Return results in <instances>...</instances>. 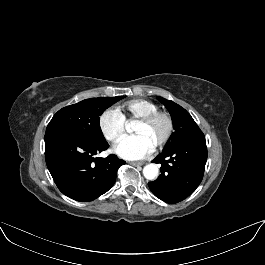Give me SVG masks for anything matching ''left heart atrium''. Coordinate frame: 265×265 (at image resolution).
Here are the masks:
<instances>
[{"mask_svg":"<svg viewBox=\"0 0 265 265\" xmlns=\"http://www.w3.org/2000/svg\"><path fill=\"white\" fill-rule=\"evenodd\" d=\"M154 147L149 140L141 134L123 137L115 147V152L128 160L142 159L153 151Z\"/></svg>","mask_w":265,"mask_h":265,"instance_id":"1","label":"left heart atrium"}]
</instances>
